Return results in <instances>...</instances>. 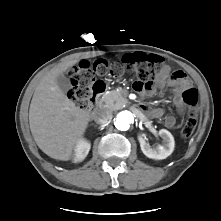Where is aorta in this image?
<instances>
[{"instance_id": "obj_1", "label": "aorta", "mask_w": 221, "mask_h": 221, "mask_svg": "<svg viewBox=\"0 0 221 221\" xmlns=\"http://www.w3.org/2000/svg\"><path fill=\"white\" fill-rule=\"evenodd\" d=\"M134 120L135 115L129 110H124L117 115L114 125L118 130L126 131L134 123Z\"/></svg>"}]
</instances>
